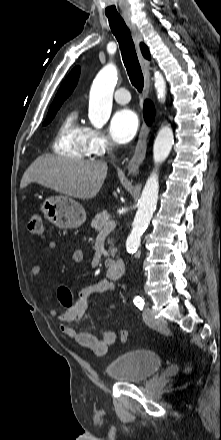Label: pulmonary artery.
I'll return each instance as SVG.
<instances>
[{"mask_svg":"<svg viewBox=\"0 0 221 440\" xmlns=\"http://www.w3.org/2000/svg\"><path fill=\"white\" fill-rule=\"evenodd\" d=\"M114 99L119 104H127L131 97L126 88H119L114 93Z\"/></svg>","mask_w":221,"mask_h":440,"instance_id":"obj_1","label":"pulmonary artery"}]
</instances>
